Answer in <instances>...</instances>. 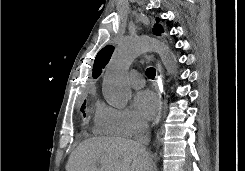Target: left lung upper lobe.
<instances>
[{
    "label": "left lung upper lobe",
    "mask_w": 245,
    "mask_h": 171,
    "mask_svg": "<svg viewBox=\"0 0 245 171\" xmlns=\"http://www.w3.org/2000/svg\"><path fill=\"white\" fill-rule=\"evenodd\" d=\"M156 21L159 22L160 19L156 18ZM153 32L155 35L158 36L161 35V32H163L162 26L160 24H156L155 27L153 28ZM113 51H114V46L107 45L98 52L93 67V78H97L101 74L102 69L109 62Z\"/></svg>",
    "instance_id": "obj_1"
}]
</instances>
